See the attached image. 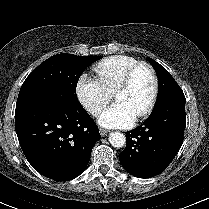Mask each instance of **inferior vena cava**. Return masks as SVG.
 Instances as JSON below:
<instances>
[{
	"label": "inferior vena cava",
	"mask_w": 209,
	"mask_h": 209,
	"mask_svg": "<svg viewBox=\"0 0 209 209\" xmlns=\"http://www.w3.org/2000/svg\"><path fill=\"white\" fill-rule=\"evenodd\" d=\"M101 110H102L101 106H93L92 109H91V111L93 113H99V112H101Z\"/></svg>",
	"instance_id": "602c4592"
}]
</instances>
